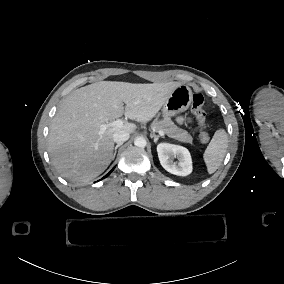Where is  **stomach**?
I'll list each match as a JSON object with an SVG mask.
<instances>
[{"label":"stomach","instance_id":"obj_1","mask_svg":"<svg viewBox=\"0 0 284 284\" xmlns=\"http://www.w3.org/2000/svg\"><path fill=\"white\" fill-rule=\"evenodd\" d=\"M193 101L191 88L181 85L175 89L163 105L164 117H172L187 111Z\"/></svg>","mask_w":284,"mask_h":284}]
</instances>
